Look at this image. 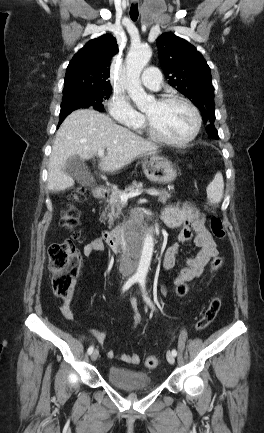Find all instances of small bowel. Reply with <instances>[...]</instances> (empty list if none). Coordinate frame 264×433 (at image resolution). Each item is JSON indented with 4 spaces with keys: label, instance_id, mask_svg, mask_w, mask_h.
Wrapping results in <instances>:
<instances>
[{
    "label": "small bowel",
    "instance_id": "small-bowel-1",
    "mask_svg": "<svg viewBox=\"0 0 264 433\" xmlns=\"http://www.w3.org/2000/svg\"><path fill=\"white\" fill-rule=\"evenodd\" d=\"M163 219L170 227H182L178 236V241L174 245L166 249L162 266L164 269H172L175 267L180 248L183 244L193 241L194 245L199 249L198 253L187 260V266L182 268L175 279V285L179 283H187L201 276L210 259L218 254L217 246L212 239V236L205 226V217L197 207L185 202L182 204L166 207L163 212ZM105 245L102 239L98 238L91 241L83 248V255L89 257L93 254L102 253ZM161 293L166 294V289L161 286ZM72 293L62 300L61 312L67 320L74 319V312L71 308ZM138 324L143 323V319L136 314L134 318ZM90 333L95 337L99 344H104L107 333L102 329L90 330ZM110 358H118L129 364L136 365L140 362V358L136 354L116 355L113 351L108 352Z\"/></svg>",
    "mask_w": 264,
    "mask_h": 433
}]
</instances>
